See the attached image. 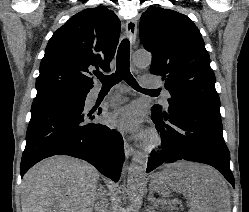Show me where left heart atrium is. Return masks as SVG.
Instances as JSON below:
<instances>
[{"label":"left heart atrium","mask_w":249,"mask_h":212,"mask_svg":"<svg viewBox=\"0 0 249 212\" xmlns=\"http://www.w3.org/2000/svg\"><path fill=\"white\" fill-rule=\"evenodd\" d=\"M110 123L121 130L128 132H140L141 118L136 105H127L115 111L110 116Z\"/></svg>","instance_id":"left-heart-atrium-1"}]
</instances>
